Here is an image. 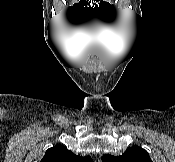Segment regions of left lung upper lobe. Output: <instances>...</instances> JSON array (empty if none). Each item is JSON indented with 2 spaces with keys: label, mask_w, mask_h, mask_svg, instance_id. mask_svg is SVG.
<instances>
[{
  "label": "left lung upper lobe",
  "mask_w": 175,
  "mask_h": 162,
  "mask_svg": "<svg viewBox=\"0 0 175 162\" xmlns=\"http://www.w3.org/2000/svg\"><path fill=\"white\" fill-rule=\"evenodd\" d=\"M103 162H152L148 152L138 146L128 148L121 156L103 155Z\"/></svg>",
  "instance_id": "1"
}]
</instances>
